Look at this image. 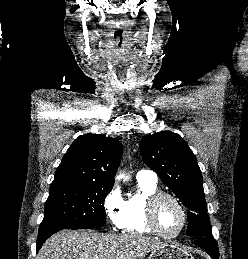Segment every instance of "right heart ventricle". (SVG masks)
Listing matches in <instances>:
<instances>
[{
  "label": "right heart ventricle",
  "mask_w": 248,
  "mask_h": 259,
  "mask_svg": "<svg viewBox=\"0 0 248 259\" xmlns=\"http://www.w3.org/2000/svg\"><path fill=\"white\" fill-rule=\"evenodd\" d=\"M156 191H158L157 183L138 180L137 192L125 200L121 226L124 231L140 234L154 233L147 222L146 204L149 196Z\"/></svg>",
  "instance_id": "e07e8e85"
}]
</instances>
